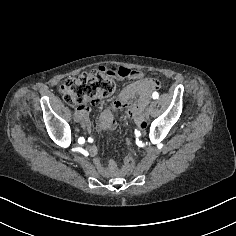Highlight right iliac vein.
Segmentation results:
<instances>
[{"label": "right iliac vein", "instance_id": "1", "mask_svg": "<svg viewBox=\"0 0 236 236\" xmlns=\"http://www.w3.org/2000/svg\"><path fill=\"white\" fill-rule=\"evenodd\" d=\"M80 124L82 125L83 128L87 127V122L86 121H82Z\"/></svg>", "mask_w": 236, "mask_h": 236}]
</instances>
